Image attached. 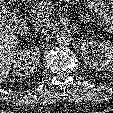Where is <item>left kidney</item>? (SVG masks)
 Segmentation results:
<instances>
[{
    "label": "left kidney",
    "instance_id": "left-kidney-1",
    "mask_svg": "<svg viewBox=\"0 0 113 113\" xmlns=\"http://www.w3.org/2000/svg\"><path fill=\"white\" fill-rule=\"evenodd\" d=\"M97 49L103 58H93L91 53ZM82 57L85 64L97 71L113 70V45L109 41H90L81 46Z\"/></svg>",
    "mask_w": 113,
    "mask_h": 113
}]
</instances>
